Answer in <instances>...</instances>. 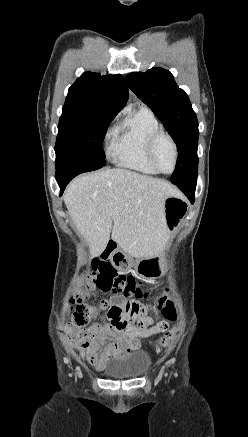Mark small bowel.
Instances as JSON below:
<instances>
[{
    "label": "small bowel",
    "instance_id": "c3829d8e",
    "mask_svg": "<svg viewBox=\"0 0 248 437\" xmlns=\"http://www.w3.org/2000/svg\"><path fill=\"white\" fill-rule=\"evenodd\" d=\"M111 302L113 305H107L106 312L111 327L118 333L117 335L100 331L96 326L87 331L74 333L80 345L90 353L96 347L95 339L98 336H105V339L112 345L108 356L124 357L138 347L139 339L150 337L164 330L161 323L154 324L152 318L143 317L142 304L128 300L127 294H112ZM106 358L91 357L97 367H101Z\"/></svg>",
    "mask_w": 248,
    "mask_h": 437
}]
</instances>
